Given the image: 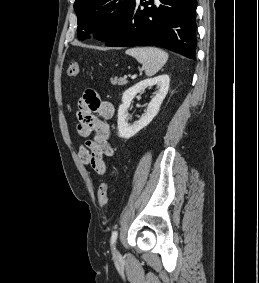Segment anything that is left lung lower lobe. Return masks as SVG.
<instances>
[{
    "mask_svg": "<svg viewBox=\"0 0 259 283\" xmlns=\"http://www.w3.org/2000/svg\"><path fill=\"white\" fill-rule=\"evenodd\" d=\"M197 0H134L106 46H158L195 59Z\"/></svg>",
    "mask_w": 259,
    "mask_h": 283,
    "instance_id": "0a47b994",
    "label": "left lung lower lobe"
}]
</instances>
